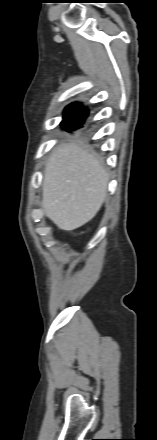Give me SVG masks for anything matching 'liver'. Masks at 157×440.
<instances>
[{
  "label": "liver",
  "mask_w": 157,
  "mask_h": 440,
  "mask_svg": "<svg viewBox=\"0 0 157 440\" xmlns=\"http://www.w3.org/2000/svg\"><path fill=\"white\" fill-rule=\"evenodd\" d=\"M109 174L100 161L76 144H61L45 167L42 207L62 229L89 222L107 198Z\"/></svg>",
  "instance_id": "liver-1"
}]
</instances>
